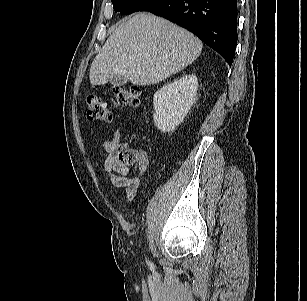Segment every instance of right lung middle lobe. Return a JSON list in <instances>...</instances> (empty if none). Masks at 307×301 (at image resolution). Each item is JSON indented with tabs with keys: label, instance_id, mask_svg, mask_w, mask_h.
Instances as JSON below:
<instances>
[{
	"label": "right lung middle lobe",
	"instance_id": "obj_1",
	"mask_svg": "<svg viewBox=\"0 0 307 301\" xmlns=\"http://www.w3.org/2000/svg\"><path fill=\"white\" fill-rule=\"evenodd\" d=\"M157 0H112L115 12L128 15L133 12L142 11L145 7Z\"/></svg>",
	"mask_w": 307,
	"mask_h": 301
}]
</instances>
